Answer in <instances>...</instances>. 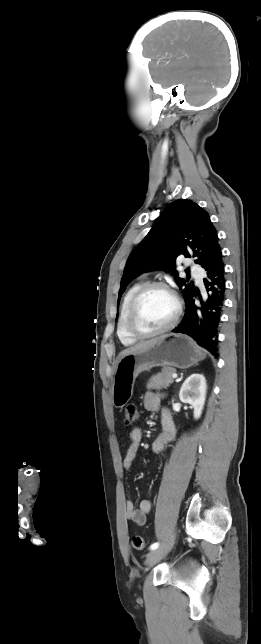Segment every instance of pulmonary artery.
<instances>
[{"label":"pulmonary artery","mask_w":261,"mask_h":644,"mask_svg":"<svg viewBox=\"0 0 261 644\" xmlns=\"http://www.w3.org/2000/svg\"><path fill=\"white\" fill-rule=\"evenodd\" d=\"M191 270H192V272H193L194 276L196 277L197 282H198L200 285H202V284H203V275H202L201 270H200L197 266H195V265H192V266H191Z\"/></svg>","instance_id":"obj_1"}]
</instances>
